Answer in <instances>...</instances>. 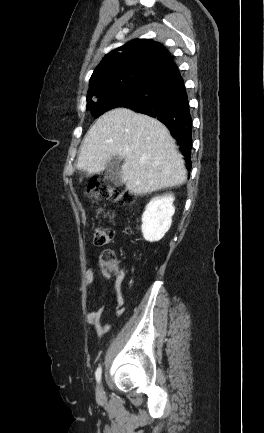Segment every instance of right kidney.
<instances>
[{
	"mask_svg": "<svg viewBox=\"0 0 264 433\" xmlns=\"http://www.w3.org/2000/svg\"><path fill=\"white\" fill-rule=\"evenodd\" d=\"M172 194L153 198L142 215V233L145 240L153 242L162 239L172 224L175 213Z\"/></svg>",
	"mask_w": 264,
	"mask_h": 433,
	"instance_id": "ca27d5eb",
	"label": "right kidney"
}]
</instances>
